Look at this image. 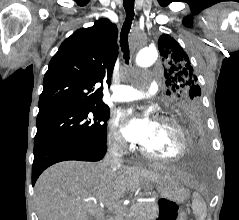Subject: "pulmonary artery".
<instances>
[{"label": "pulmonary artery", "mask_w": 239, "mask_h": 220, "mask_svg": "<svg viewBox=\"0 0 239 220\" xmlns=\"http://www.w3.org/2000/svg\"><path fill=\"white\" fill-rule=\"evenodd\" d=\"M112 90L111 99L113 101L127 102L144 99L154 95L158 90V85L156 82H151L146 91L131 85H115Z\"/></svg>", "instance_id": "pulmonary-artery-1"}]
</instances>
